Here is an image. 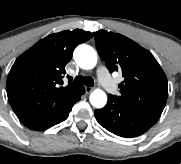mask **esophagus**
Masks as SVG:
<instances>
[{
	"mask_svg": "<svg viewBox=\"0 0 181 164\" xmlns=\"http://www.w3.org/2000/svg\"><path fill=\"white\" fill-rule=\"evenodd\" d=\"M92 90H93L92 87H90V86H85V91H86L87 94L90 93Z\"/></svg>",
	"mask_w": 181,
	"mask_h": 164,
	"instance_id": "esophagus-1",
	"label": "esophagus"
}]
</instances>
